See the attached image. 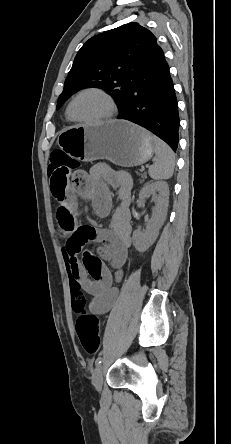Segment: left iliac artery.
<instances>
[{
    "mask_svg": "<svg viewBox=\"0 0 231 444\" xmlns=\"http://www.w3.org/2000/svg\"><path fill=\"white\" fill-rule=\"evenodd\" d=\"M101 362H102V357L99 356V357H97V359H96V361H95V365L98 366V365L101 364Z\"/></svg>",
    "mask_w": 231,
    "mask_h": 444,
    "instance_id": "left-iliac-artery-1",
    "label": "left iliac artery"
}]
</instances>
